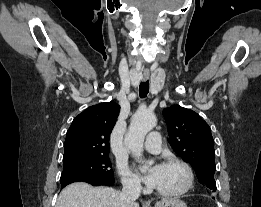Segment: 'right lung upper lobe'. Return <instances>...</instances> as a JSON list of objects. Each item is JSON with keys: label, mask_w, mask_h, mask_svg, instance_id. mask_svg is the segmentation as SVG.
<instances>
[{"label": "right lung upper lobe", "mask_w": 261, "mask_h": 207, "mask_svg": "<svg viewBox=\"0 0 261 207\" xmlns=\"http://www.w3.org/2000/svg\"><path fill=\"white\" fill-rule=\"evenodd\" d=\"M115 102L88 107L74 118L66 134L63 161L109 155V137L119 115Z\"/></svg>", "instance_id": "right-lung-upper-lobe-1"}]
</instances>
